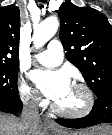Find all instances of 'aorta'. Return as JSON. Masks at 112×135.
<instances>
[{
    "mask_svg": "<svg viewBox=\"0 0 112 135\" xmlns=\"http://www.w3.org/2000/svg\"><path fill=\"white\" fill-rule=\"evenodd\" d=\"M59 21L57 17L51 16L41 22L34 28L33 42L36 48L42 47L48 42L57 32Z\"/></svg>",
    "mask_w": 112,
    "mask_h": 135,
    "instance_id": "762f6f07",
    "label": "aorta"
}]
</instances>
